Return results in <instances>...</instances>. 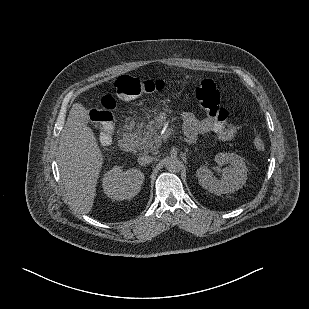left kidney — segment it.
<instances>
[{
  "label": "left kidney",
  "instance_id": "left-kidney-1",
  "mask_svg": "<svg viewBox=\"0 0 309 309\" xmlns=\"http://www.w3.org/2000/svg\"><path fill=\"white\" fill-rule=\"evenodd\" d=\"M215 162L220 165H227L222 170L223 176L218 180L213 176L208 166L203 165L197 169L196 174L200 185L207 191L215 194H227L239 190L247 180V166L244 159L235 153H218Z\"/></svg>",
  "mask_w": 309,
  "mask_h": 309
}]
</instances>
